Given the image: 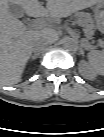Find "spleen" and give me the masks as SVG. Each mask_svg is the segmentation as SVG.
<instances>
[{
    "mask_svg": "<svg viewBox=\"0 0 104 137\" xmlns=\"http://www.w3.org/2000/svg\"><path fill=\"white\" fill-rule=\"evenodd\" d=\"M89 64L98 70L99 67L103 66V53L98 50H92L87 55Z\"/></svg>",
    "mask_w": 104,
    "mask_h": 137,
    "instance_id": "1",
    "label": "spleen"
}]
</instances>
